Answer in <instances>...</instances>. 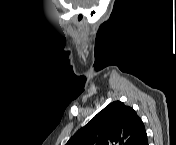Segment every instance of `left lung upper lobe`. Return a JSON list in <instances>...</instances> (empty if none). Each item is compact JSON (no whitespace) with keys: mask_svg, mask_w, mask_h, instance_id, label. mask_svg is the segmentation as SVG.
<instances>
[{"mask_svg":"<svg viewBox=\"0 0 176 145\" xmlns=\"http://www.w3.org/2000/svg\"><path fill=\"white\" fill-rule=\"evenodd\" d=\"M145 134L136 112L115 101L78 130L66 145H139Z\"/></svg>","mask_w":176,"mask_h":145,"instance_id":"left-lung-upper-lobe-1","label":"left lung upper lobe"}]
</instances>
